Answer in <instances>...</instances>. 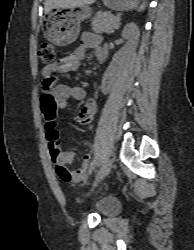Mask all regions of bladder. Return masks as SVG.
<instances>
[{
	"mask_svg": "<svg viewBox=\"0 0 194 250\" xmlns=\"http://www.w3.org/2000/svg\"><path fill=\"white\" fill-rule=\"evenodd\" d=\"M91 208L100 216L105 217L114 215L119 209V203L113 197H105L95 201Z\"/></svg>",
	"mask_w": 194,
	"mask_h": 250,
	"instance_id": "1",
	"label": "bladder"
}]
</instances>
